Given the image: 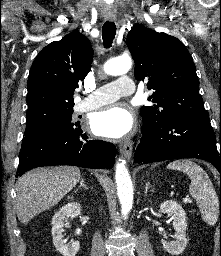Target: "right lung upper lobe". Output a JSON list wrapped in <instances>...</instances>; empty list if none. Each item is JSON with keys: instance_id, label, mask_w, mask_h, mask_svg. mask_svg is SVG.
<instances>
[{"instance_id": "1", "label": "right lung upper lobe", "mask_w": 221, "mask_h": 256, "mask_svg": "<svg viewBox=\"0 0 221 256\" xmlns=\"http://www.w3.org/2000/svg\"><path fill=\"white\" fill-rule=\"evenodd\" d=\"M93 49L80 33L44 47L33 62L27 82L28 111L74 105V90L91 68Z\"/></svg>"}]
</instances>
